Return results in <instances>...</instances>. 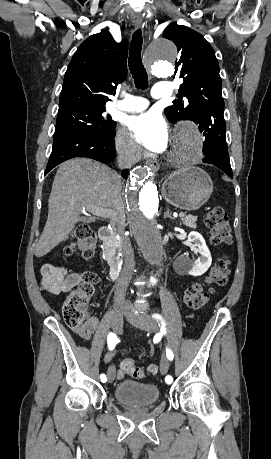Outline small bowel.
Returning a JSON list of instances; mask_svg holds the SVG:
<instances>
[{"mask_svg": "<svg viewBox=\"0 0 271 459\" xmlns=\"http://www.w3.org/2000/svg\"><path fill=\"white\" fill-rule=\"evenodd\" d=\"M41 273L42 289L55 295L69 292L81 282L84 275L82 272L71 273L64 267L54 266L51 264L44 265ZM98 324V318L91 316L81 325L74 327L73 332L81 339L91 340L95 337ZM112 357L113 354L111 352L107 353L104 358L105 362L109 363ZM148 371L151 374H154L157 371V367L155 365H150L148 367ZM124 377L125 373L122 370H119L117 372V378L122 380Z\"/></svg>", "mask_w": 271, "mask_h": 459, "instance_id": "obj_1", "label": "small bowel"}]
</instances>
